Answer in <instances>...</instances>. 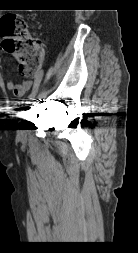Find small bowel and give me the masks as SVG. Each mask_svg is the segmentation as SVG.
Wrapping results in <instances>:
<instances>
[{
    "mask_svg": "<svg viewBox=\"0 0 138 253\" xmlns=\"http://www.w3.org/2000/svg\"><path fill=\"white\" fill-rule=\"evenodd\" d=\"M2 65V59L0 57V66ZM42 76V72H39L36 76V79ZM34 80L25 79L19 83L15 82L13 79L7 81V89L11 91L14 96L21 98L23 97L32 87Z\"/></svg>",
    "mask_w": 138,
    "mask_h": 253,
    "instance_id": "1",
    "label": "small bowel"
}]
</instances>
